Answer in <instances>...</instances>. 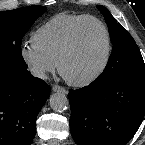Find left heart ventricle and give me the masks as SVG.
<instances>
[{
	"label": "left heart ventricle",
	"mask_w": 145,
	"mask_h": 145,
	"mask_svg": "<svg viewBox=\"0 0 145 145\" xmlns=\"http://www.w3.org/2000/svg\"><path fill=\"white\" fill-rule=\"evenodd\" d=\"M106 52L103 29L93 21L85 22L78 34L73 53L63 64L64 75L73 80L87 77L102 63Z\"/></svg>",
	"instance_id": "b2bd125f"
}]
</instances>
